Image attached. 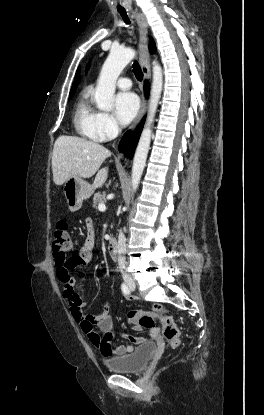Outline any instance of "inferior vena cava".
<instances>
[{
	"label": "inferior vena cava",
	"mask_w": 264,
	"mask_h": 415,
	"mask_svg": "<svg viewBox=\"0 0 264 415\" xmlns=\"http://www.w3.org/2000/svg\"><path fill=\"white\" fill-rule=\"evenodd\" d=\"M125 254H126V238L123 232L120 230L119 236H118V266L122 274H124V270L126 266Z\"/></svg>",
	"instance_id": "1"
}]
</instances>
